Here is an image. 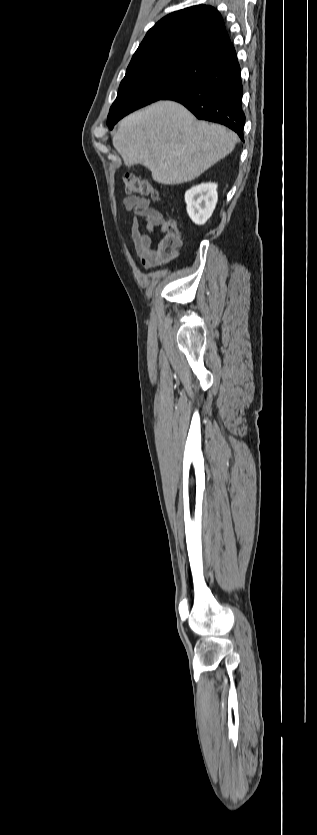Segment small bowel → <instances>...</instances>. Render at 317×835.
<instances>
[{
	"mask_svg": "<svg viewBox=\"0 0 317 835\" xmlns=\"http://www.w3.org/2000/svg\"><path fill=\"white\" fill-rule=\"evenodd\" d=\"M123 204L126 211L134 214L129 228V237L142 265L150 269L167 264L168 259L160 254L158 248L152 247L151 238V234L156 228L165 231L167 221L163 214L152 207L150 200L145 197L128 196L124 199ZM139 218L143 220V225H141Z\"/></svg>",
	"mask_w": 317,
	"mask_h": 835,
	"instance_id": "1",
	"label": "small bowel"
}]
</instances>
